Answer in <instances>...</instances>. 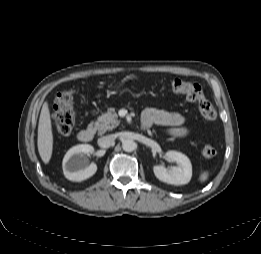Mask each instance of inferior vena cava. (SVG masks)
Segmentation results:
<instances>
[{"label":"inferior vena cava","mask_w":261,"mask_h":254,"mask_svg":"<svg viewBox=\"0 0 261 254\" xmlns=\"http://www.w3.org/2000/svg\"><path fill=\"white\" fill-rule=\"evenodd\" d=\"M115 135H107L98 139V145L101 148H109L115 141Z\"/></svg>","instance_id":"inferior-vena-cava-1"}]
</instances>
